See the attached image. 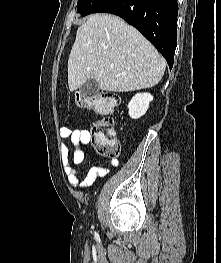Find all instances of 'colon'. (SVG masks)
I'll return each mask as SVG.
<instances>
[{"instance_id": "colon-1", "label": "colon", "mask_w": 221, "mask_h": 263, "mask_svg": "<svg viewBox=\"0 0 221 263\" xmlns=\"http://www.w3.org/2000/svg\"><path fill=\"white\" fill-rule=\"evenodd\" d=\"M75 103L80 109L109 115L121 103V99L112 93L76 94ZM90 137L93 145L102 156L113 158L119 155L120 146L114 135L111 118L107 117L98 122L92 128Z\"/></svg>"}]
</instances>
